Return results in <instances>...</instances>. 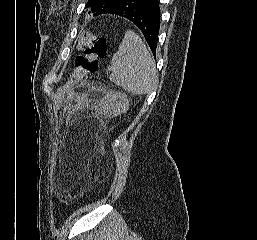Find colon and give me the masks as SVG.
<instances>
[{
	"mask_svg": "<svg viewBox=\"0 0 257 240\" xmlns=\"http://www.w3.org/2000/svg\"><path fill=\"white\" fill-rule=\"evenodd\" d=\"M78 48L82 51L75 59V69L68 81L60 87L55 95L57 104L77 86L86 75L95 73L99 69L100 60L108 55V43L104 37L86 32L78 41Z\"/></svg>",
	"mask_w": 257,
	"mask_h": 240,
	"instance_id": "colon-1",
	"label": "colon"
}]
</instances>
